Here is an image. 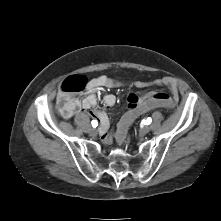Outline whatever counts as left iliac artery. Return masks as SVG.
Masks as SVG:
<instances>
[{
  "mask_svg": "<svg viewBox=\"0 0 221 221\" xmlns=\"http://www.w3.org/2000/svg\"><path fill=\"white\" fill-rule=\"evenodd\" d=\"M152 122V119L150 117H148L146 120H145V123L146 124H150Z\"/></svg>",
  "mask_w": 221,
  "mask_h": 221,
  "instance_id": "left-iliac-artery-1",
  "label": "left iliac artery"
}]
</instances>
